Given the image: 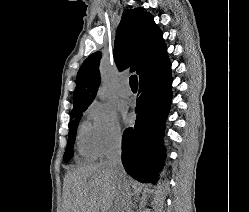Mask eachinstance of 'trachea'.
I'll return each mask as SVG.
<instances>
[{
  "mask_svg": "<svg viewBox=\"0 0 249 212\" xmlns=\"http://www.w3.org/2000/svg\"><path fill=\"white\" fill-rule=\"evenodd\" d=\"M129 84L131 88H137L138 86L137 75H131L129 79Z\"/></svg>",
  "mask_w": 249,
  "mask_h": 212,
  "instance_id": "3493384b",
  "label": "trachea"
}]
</instances>
